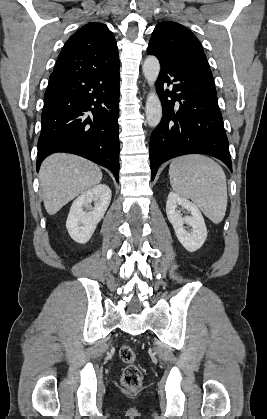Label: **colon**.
<instances>
[{
    "mask_svg": "<svg viewBox=\"0 0 267 419\" xmlns=\"http://www.w3.org/2000/svg\"><path fill=\"white\" fill-rule=\"evenodd\" d=\"M120 360L126 364L122 373V384L129 389H137L141 386L143 376L140 368L136 365V354L131 346L124 344L119 349Z\"/></svg>",
    "mask_w": 267,
    "mask_h": 419,
    "instance_id": "1",
    "label": "colon"
}]
</instances>
